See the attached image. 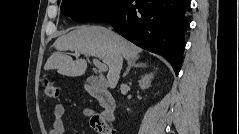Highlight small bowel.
<instances>
[{
    "label": "small bowel",
    "instance_id": "1",
    "mask_svg": "<svg viewBox=\"0 0 239 134\" xmlns=\"http://www.w3.org/2000/svg\"><path fill=\"white\" fill-rule=\"evenodd\" d=\"M54 122H53V127L50 130V134H65V125H64V121H63V116L65 113V108L63 106V104H56L54 106ZM83 116L84 117H91L94 114V111L91 108H84L83 111Z\"/></svg>",
    "mask_w": 239,
    "mask_h": 134
}]
</instances>
